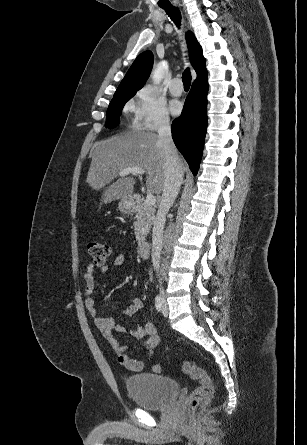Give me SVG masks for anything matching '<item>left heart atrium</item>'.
<instances>
[{
    "label": "left heart atrium",
    "instance_id": "left-heart-atrium-1",
    "mask_svg": "<svg viewBox=\"0 0 307 445\" xmlns=\"http://www.w3.org/2000/svg\"><path fill=\"white\" fill-rule=\"evenodd\" d=\"M169 108L173 115H179L182 111V105L178 100H171Z\"/></svg>",
    "mask_w": 307,
    "mask_h": 445
}]
</instances>
